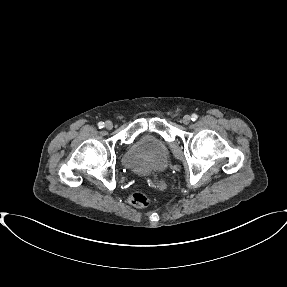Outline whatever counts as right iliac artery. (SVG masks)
Instances as JSON below:
<instances>
[{"label":"right iliac artery","mask_w":287,"mask_h":287,"mask_svg":"<svg viewBox=\"0 0 287 287\" xmlns=\"http://www.w3.org/2000/svg\"><path fill=\"white\" fill-rule=\"evenodd\" d=\"M98 127H99V128H103V127H104V122H99V123H98Z\"/></svg>","instance_id":"right-iliac-artery-1"}]
</instances>
